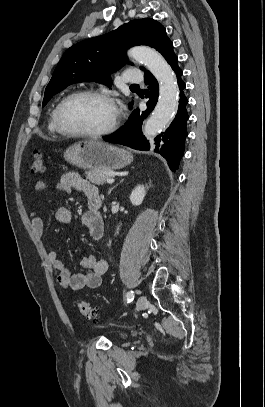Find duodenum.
<instances>
[{"instance_id":"duodenum-1","label":"duodenum","mask_w":265,"mask_h":407,"mask_svg":"<svg viewBox=\"0 0 265 407\" xmlns=\"http://www.w3.org/2000/svg\"><path fill=\"white\" fill-rule=\"evenodd\" d=\"M91 206H92V208H93L94 210H96V211L100 210L101 207H102V201H101V199H100V198L93 199V200L91 201Z\"/></svg>"}]
</instances>
